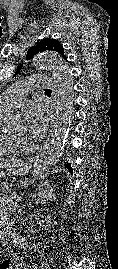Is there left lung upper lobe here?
<instances>
[{
	"label": "left lung upper lobe",
	"instance_id": "obj_1",
	"mask_svg": "<svg viewBox=\"0 0 118 269\" xmlns=\"http://www.w3.org/2000/svg\"><path fill=\"white\" fill-rule=\"evenodd\" d=\"M47 50L55 51L59 53L65 60L67 59V57L64 55L63 46L55 39H49V38L43 39L37 45L32 46L27 52L26 59L29 60L33 58L34 55ZM21 67L22 64L18 67L14 76H16L20 72Z\"/></svg>",
	"mask_w": 118,
	"mask_h": 269
}]
</instances>
